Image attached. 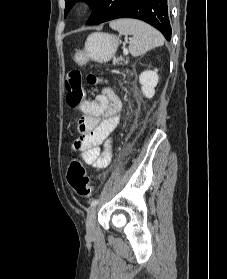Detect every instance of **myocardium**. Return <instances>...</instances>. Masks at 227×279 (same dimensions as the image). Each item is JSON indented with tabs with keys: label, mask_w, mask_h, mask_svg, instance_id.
Here are the masks:
<instances>
[{
	"label": "myocardium",
	"mask_w": 227,
	"mask_h": 279,
	"mask_svg": "<svg viewBox=\"0 0 227 279\" xmlns=\"http://www.w3.org/2000/svg\"><path fill=\"white\" fill-rule=\"evenodd\" d=\"M84 8H85V3L84 2H80L77 6L78 11H82Z\"/></svg>",
	"instance_id": "1"
}]
</instances>
